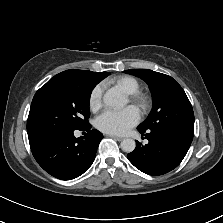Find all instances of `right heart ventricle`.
Listing matches in <instances>:
<instances>
[{
  "label": "right heart ventricle",
  "mask_w": 223,
  "mask_h": 223,
  "mask_svg": "<svg viewBox=\"0 0 223 223\" xmlns=\"http://www.w3.org/2000/svg\"><path fill=\"white\" fill-rule=\"evenodd\" d=\"M114 82L129 95H134L140 91L139 82L131 76H120Z\"/></svg>",
  "instance_id": "obj_1"
}]
</instances>
